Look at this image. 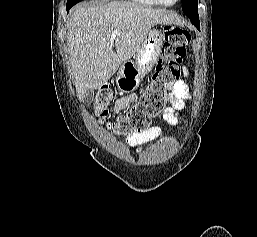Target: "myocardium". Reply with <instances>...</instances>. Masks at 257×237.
<instances>
[{
	"label": "myocardium",
	"instance_id": "f54148a6",
	"mask_svg": "<svg viewBox=\"0 0 257 237\" xmlns=\"http://www.w3.org/2000/svg\"><path fill=\"white\" fill-rule=\"evenodd\" d=\"M156 1H157L158 4L163 5V6H167V7L174 6L179 2V0H175L173 3H166L163 0H156Z\"/></svg>",
	"mask_w": 257,
	"mask_h": 237
}]
</instances>
